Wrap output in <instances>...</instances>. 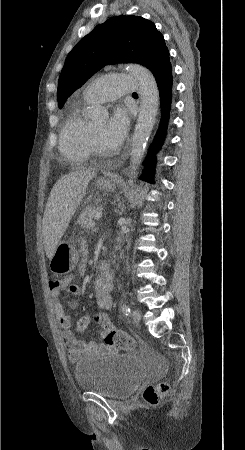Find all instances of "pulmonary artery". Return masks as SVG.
<instances>
[{
	"instance_id": "obj_1",
	"label": "pulmonary artery",
	"mask_w": 245,
	"mask_h": 450,
	"mask_svg": "<svg viewBox=\"0 0 245 450\" xmlns=\"http://www.w3.org/2000/svg\"><path fill=\"white\" fill-rule=\"evenodd\" d=\"M139 86L140 82L129 74L106 75L90 82L83 96L92 103H101L121 95H132Z\"/></svg>"
}]
</instances>
